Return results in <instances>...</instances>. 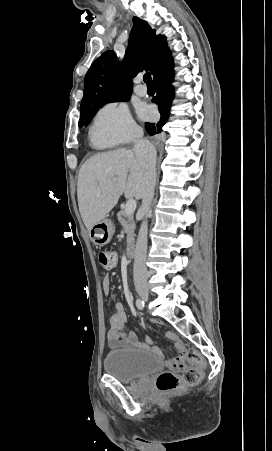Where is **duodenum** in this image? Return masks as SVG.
Listing matches in <instances>:
<instances>
[{
	"label": "duodenum",
	"mask_w": 272,
	"mask_h": 451,
	"mask_svg": "<svg viewBox=\"0 0 272 451\" xmlns=\"http://www.w3.org/2000/svg\"><path fill=\"white\" fill-rule=\"evenodd\" d=\"M126 253H127V256H128L129 258H133L134 255H135V249H134V246H133V245H129V246L127 247Z\"/></svg>",
	"instance_id": "duodenum-1"
}]
</instances>
